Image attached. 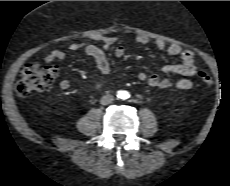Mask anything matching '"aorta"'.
<instances>
[{"instance_id": "aorta-1", "label": "aorta", "mask_w": 230, "mask_h": 186, "mask_svg": "<svg viewBox=\"0 0 230 186\" xmlns=\"http://www.w3.org/2000/svg\"><path fill=\"white\" fill-rule=\"evenodd\" d=\"M129 94L127 91H119L117 97L120 99L128 98Z\"/></svg>"}]
</instances>
